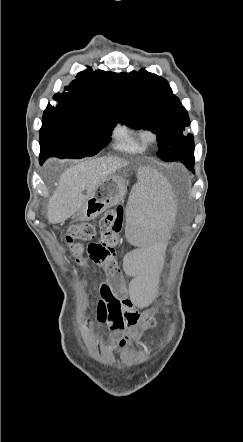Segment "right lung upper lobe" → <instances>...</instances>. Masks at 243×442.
<instances>
[{
	"label": "right lung upper lobe",
	"instance_id": "right-lung-upper-lobe-1",
	"mask_svg": "<svg viewBox=\"0 0 243 442\" xmlns=\"http://www.w3.org/2000/svg\"><path fill=\"white\" fill-rule=\"evenodd\" d=\"M66 93L55 94L59 106L82 115H98L117 123L120 81L118 74L91 68L77 74L65 87Z\"/></svg>",
	"mask_w": 243,
	"mask_h": 442
}]
</instances>
